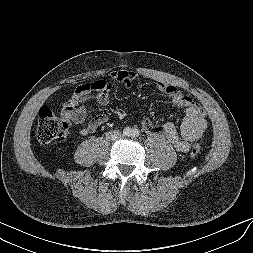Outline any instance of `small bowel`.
I'll list each match as a JSON object with an SVG mask.
<instances>
[{
	"mask_svg": "<svg viewBox=\"0 0 253 253\" xmlns=\"http://www.w3.org/2000/svg\"><path fill=\"white\" fill-rule=\"evenodd\" d=\"M111 78L131 87L132 82L137 78V73L133 70H116L111 73ZM156 87L168 96L172 103L185 108L180 132L171 122L157 126L148 117H143L142 127L152 136H164L178 152L186 153L193 142L201 140L205 136L207 129L206 113L191 97L184 94L176 86L164 81H156ZM110 89L111 86L106 81H95L77 86L62 107L63 118L70 124H83L88 116L89 102L93 101L99 106L107 105L110 99ZM92 91H96V93L92 95ZM106 121L105 115H97L88 124L80 127L77 132L82 136L88 135L95 132Z\"/></svg>",
	"mask_w": 253,
	"mask_h": 253,
	"instance_id": "c3829d8e",
	"label": "small bowel"
}]
</instances>
